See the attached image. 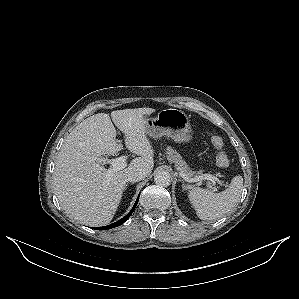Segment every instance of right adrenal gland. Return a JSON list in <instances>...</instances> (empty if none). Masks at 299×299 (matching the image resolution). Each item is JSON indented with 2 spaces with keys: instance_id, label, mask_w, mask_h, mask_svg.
Here are the masks:
<instances>
[{
  "instance_id": "obj_1",
  "label": "right adrenal gland",
  "mask_w": 299,
  "mask_h": 299,
  "mask_svg": "<svg viewBox=\"0 0 299 299\" xmlns=\"http://www.w3.org/2000/svg\"><path fill=\"white\" fill-rule=\"evenodd\" d=\"M128 184H130V183H127V184L125 185V189L127 188Z\"/></svg>"
}]
</instances>
